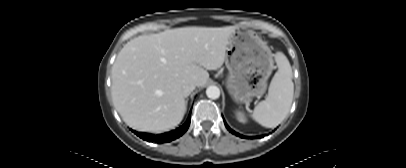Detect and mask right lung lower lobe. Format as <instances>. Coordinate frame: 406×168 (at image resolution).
Wrapping results in <instances>:
<instances>
[{"instance_id": "right-lung-lower-lobe-1", "label": "right lung lower lobe", "mask_w": 406, "mask_h": 168, "mask_svg": "<svg viewBox=\"0 0 406 168\" xmlns=\"http://www.w3.org/2000/svg\"><path fill=\"white\" fill-rule=\"evenodd\" d=\"M190 119H191V111L189 113V116H188L186 122L182 126H180L179 128H176L175 130H172L170 132H166L163 134L154 135V134H150V133L136 132L134 130H132V131L137 136H139L140 138H142L148 142H153V141H155L156 143L170 142L172 140L179 138L187 131V129L189 128V125H190Z\"/></svg>"}]
</instances>
